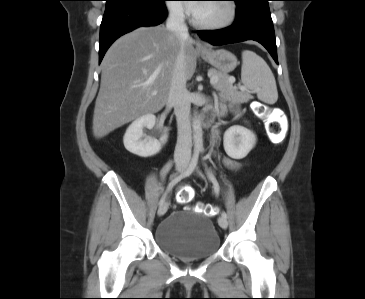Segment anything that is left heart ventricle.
<instances>
[{
  "mask_svg": "<svg viewBox=\"0 0 365 299\" xmlns=\"http://www.w3.org/2000/svg\"><path fill=\"white\" fill-rule=\"evenodd\" d=\"M199 5V9L194 14L201 22L218 23L224 21L229 15L227 2H208Z\"/></svg>",
  "mask_w": 365,
  "mask_h": 299,
  "instance_id": "left-heart-ventricle-1",
  "label": "left heart ventricle"
}]
</instances>
